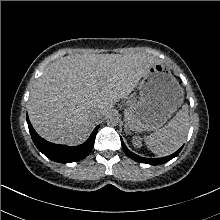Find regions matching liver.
<instances>
[{
	"mask_svg": "<svg viewBox=\"0 0 220 220\" xmlns=\"http://www.w3.org/2000/svg\"><path fill=\"white\" fill-rule=\"evenodd\" d=\"M159 62L144 53L62 57L44 70L31 91L29 119L50 142L81 144L92 125L129 96L150 66ZM95 110L101 118L90 117Z\"/></svg>",
	"mask_w": 220,
	"mask_h": 220,
	"instance_id": "1",
	"label": "liver"
}]
</instances>
